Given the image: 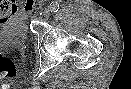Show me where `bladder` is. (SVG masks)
<instances>
[{
    "label": "bladder",
    "mask_w": 131,
    "mask_h": 89,
    "mask_svg": "<svg viewBox=\"0 0 131 89\" xmlns=\"http://www.w3.org/2000/svg\"><path fill=\"white\" fill-rule=\"evenodd\" d=\"M27 32V23L21 15H14L7 22H0V42L18 37L24 38Z\"/></svg>",
    "instance_id": "31cf9c89"
}]
</instances>
